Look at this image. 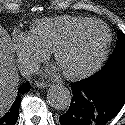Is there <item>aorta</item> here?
Segmentation results:
<instances>
[{"mask_svg":"<svg viewBox=\"0 0 125 125\" xmlns=\"http://www.w3.org/2000/svg\"><path fill=\"white\" fill-rule=\"evenodd\" d=\"M47 100L51 107L57 110H65L70 106L72 93L63 85H55L49 89Z\"/></svg>","mask_w":125,"mask_h":125,"instance_id":"1","label":"aorta"}]
</instances>
